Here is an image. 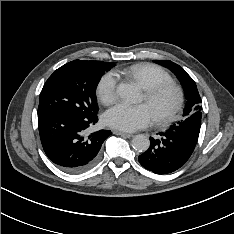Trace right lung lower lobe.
Listing matches in <instances>:
<instances>
[{
  "label": "right lung lower lobe",
  "instance_id": "obj_1",
  "mask_svg": "<svg viewBox=\"0 0 234 234\" xmlns=\"http://www.w3.org/2000/svg\"><path fill=\"white\" fill-rule=\"evenodd\" d=\"M97 121V115L84 117L61 112L38 117L40 139L48 158L68 173L91 168L102 143L112 134L109 130H100L88 135V127Z\"/></svg>",
  "mask_w": 234,
  "mask_h": 234
}]
</instances>
